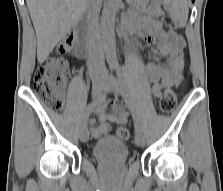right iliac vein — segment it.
Segmentation results:
<instances>
[{"label":"right iliac vein","instance_id":"right-iliac-vein-1","mask_svg":"<svg viewBox=\"0 0 223 191\" xmlns=\"http://www.w3.org/2000/svg\"><path fill=\"white\" fill-rule=\"evenodd\" d=\"M105 87V82L102 80H93L92 81V93L93 97H97L103 88ZM89 139V131L86 126L81 127L80 130V140L82 142H86Z\"/></svg>","mask_w":223,"mask_h":191}]
</instances>
